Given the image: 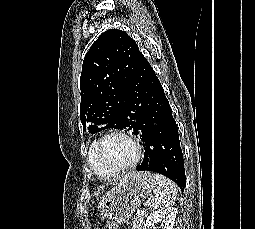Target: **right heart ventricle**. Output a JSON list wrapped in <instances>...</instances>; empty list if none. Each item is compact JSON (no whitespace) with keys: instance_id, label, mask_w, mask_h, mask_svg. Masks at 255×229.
I'll return each mask as SVG.
<instances>
[{"instance_id":"1","label":"right heart ventricle","mask_w":255,"mask_h":229,"mask_svg":"<svg viewBox=\"0 0 255 229\" xmlns=\"http://www.w3.org/2000/svg\"><path fill=\"white\" fill-rule=\"evenodd\" d=\"M90 147H91V146H90ZM87 159H88V163H89V166H90L91 170H92L99 178H101V179H111V178L115 177V176H110V175H108V174L99 166V164L93 159L90 148H89V151H88Z\"/></svg>"}]
</instances>
